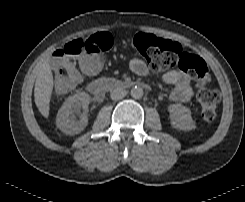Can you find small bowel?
<instances>
[{"mask_svg":"<svg viewBox=\"0 0 245 202\" xmlns=\"http://www.w3.org/2000/svg\"><path fill=\"white\" fill-rule=\"evenodd\" d=\"M86 69L91 74H96L101 70V62H97L95 59H88L85 62ZM130 71L137 76H146L148 74V68L146 64L138 58H134L129 61ZM163 81L166 84L172 85L169 98L174 102H187L194 94L191 79L187 73L179 69H172L163 75Z\"/></svg>","mask_w":245,"mask_h":202,"instance_id":"c3829d8e","label":"small bowel"}]
</instances>
